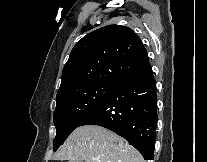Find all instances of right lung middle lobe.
Wrapping results in <instances>:
<instances>
[{
  "label": "right lung middle lobe",
  "instance_id": "dd1d6c3e",
  "mask_svg": "<svg viewBox=\"0 0 207 162\" xmlns=\"http://www.w3.org/2000/svg\"><path fill=\"white\" fill-rule=\"evenodd\" d=\"M115 84H96L65 92L57 96L54 111L56 137L54 151L70 133L108 96Z\"/></svg>",
  "mask_w": 207,
  "mask_h": 162
}]
</instances>
